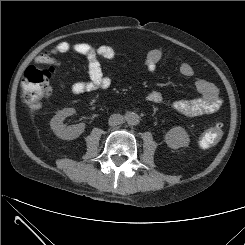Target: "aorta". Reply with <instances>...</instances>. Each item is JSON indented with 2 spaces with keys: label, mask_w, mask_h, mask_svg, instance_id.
<instances>
[{
  "label": "aorta",
  "mask_w": 245,
  "mask_h": 245,
  "mask_svg": "<svg viewBox=\"0 0 245 245\" xmlns=\"http://www.w3.org/2000/svg\"><path fill=\"white\" fill-rule=\"evenodd\" d=\"M125 119L129 125H137L140 122L139 115L133 112L126 114Z\"/></svg>",
  "instance_id": "1"
}]
</instances>
